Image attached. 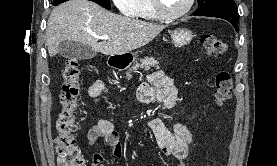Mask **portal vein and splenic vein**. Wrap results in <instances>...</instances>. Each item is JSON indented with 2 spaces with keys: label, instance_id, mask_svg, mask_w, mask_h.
<instances>
[{
  "label": "portal vein and splenic vein",
  "instance_id": "1",
  "mask_svg": "<svg viewBox=\"0 0 277 166\" xmlns=\"http://www.w3.org/2000/svg\"><path fill=\"white\" fill-rule=\"evenodd\" d=\"M98 39L109 40V36H97Z\"/></svg>",
  "mask_w": 277,
  "mask_h": 166
}]
</instances>
